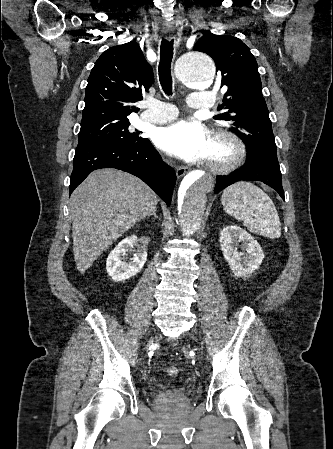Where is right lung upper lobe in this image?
Wrapping results in <instances>:
<instances>
[{"mask_svg":"<svg viewBox=\"0 0 333 449\" xmlns=\"http://www.w3.org/2000/svg\"><path fill=\"white\" fill-rule=\"evenodd\" d=\"M152 67L136 42L114 46L96 61L88 78L81 127L128 120L139 108L142 89L152 84Z\"/></svg>","mask_w":333,"mask_h":449,"instance_id":"1","label":"right lung upper lobe"}]
</instances>
